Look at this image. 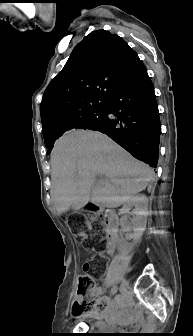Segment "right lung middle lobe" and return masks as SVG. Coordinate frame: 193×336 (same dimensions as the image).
Instances as JSON below:
<instances>
[{"label": "right lung middle lobe", "instance_id": "obj_1", "mask_svg": "<svg viewBox=\"0 0 193 336\" xmlns=\"http://www.w3.org/2000/svg\"><path fill=\"white\" fill-rule=\"evenodd\" d=\"M107 111L105 108H101L90 112L82 117H80L72 126L73 129H90V130H99L101 129L105 123L107 122ZM60 136L52 137L45 140V145L49 148L48 153L53 148L55 141Z\"/></svg>", "mask_w": 193, "mask_h": 336}]
</instances>
